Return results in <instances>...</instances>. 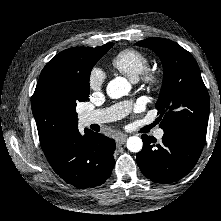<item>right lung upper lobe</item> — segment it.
<instances>
[{"label": "right lung upper lobe", "mask_w": 221, "mask_h": 221, "mask_svg": "<svg viewBox=\"0 0 221 221\" xmlns=\"http://www.w3.org/2000/svg\"><path fill=\"white\" fill-rule=\"evenodd\" d=\"M102 47L64 50L43 68L32 99L43 151L70 130L78 128L71 77Z\"/></svg>", "instance_id": "cb5924a9"}]
</instances>
